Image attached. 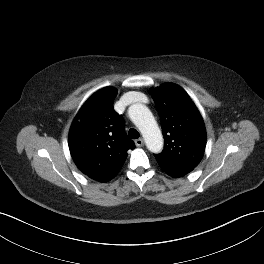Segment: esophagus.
<instances>
[{
    "label": "esophagus",
    "instance_id": "34e87169",
    "mask_svg": "<svg viewBox=\"0 0 264 264\" xmlns=\"http://www.w3.org/2000/svg\"><path fill=\"white\" fill-rule=\"evenodd\" d=\"M135 145L137 147H142L144 145L143 139L139 138V139L135 140Z\"/></svg>",
    "mask_w": 264,
    "mask_h": 264
}]
</instances>
